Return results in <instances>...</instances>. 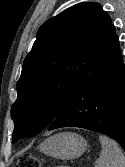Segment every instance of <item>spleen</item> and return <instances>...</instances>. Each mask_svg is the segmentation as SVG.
Returning a JSON list of instances; mask_svg holds the SVG:
<instances>
[{"label": "spleen", "instance_id": "1", "mask_svg": "<svg viewBox=\"0 0 125 167\" xmlns=\"http://www.w3.org/2000/svg\"><path fill=\"white\" fill-rule=\"evenodd\" d=\"M102 149L95 167H125V156L118 144L106 136L99 137Z\"/></svg>", "mask_w": 125, "mask_h": 167}]
</instances>
